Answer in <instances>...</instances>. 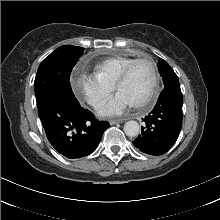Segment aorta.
Segmentation results:
<instances>
[{"mask_svg": "<svg viewBox=\"0 0 220 220\" xmlns=\"http://www.w3.org/2000/svg\"><path fill=\"white\" fill-rule=\"evenodd\" d=\"M124 132L129 137H135L140 132V126L136 121H128L124 125Z\"/></svg>", "mask_w": 220, "mask_h": 220, "instance_id": "1", "label": "aorta"}]
</instances>
